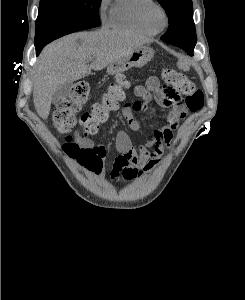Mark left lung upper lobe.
I'll use <instances>...</instances> for the list:
<instances>
[{
  "mask_svg": "<svg viewBox=\"0 0 245 300\" xmlns=\"http://www.w3.org/2000/svg\"><path fill=\"white\" fill-rule=\"evenodd\" d=\"M169 17L168 31L161 39L169 44L178 45L189 40L188 48L196 44L195 25L193 21L192 0H157Z\"/></svg>",
  "mask_w": 245,
  "mask_h": 300,
  "instance_id": "1",
  "label": "left lung upper lobe"
}]
</instances>
